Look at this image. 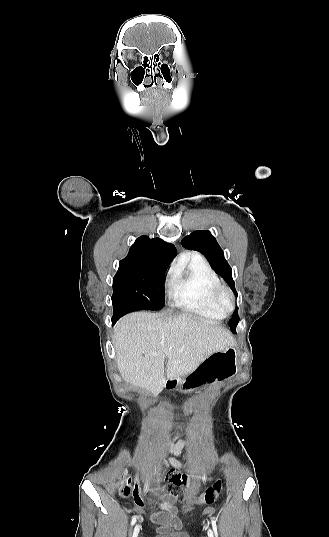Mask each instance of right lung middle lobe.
Instances as JSON below:
<instances>
[{"instance_id": "right-lung-middle-lobe-1", "label": "right lung middle lobe", "mask_w": 329, "mask_h": 537, "mask_svg": "<svg viewBox=\"0 0 329 537\" xmlns=\"http://www.w3.org/2000/svg\"><path fill=\"white\" fill-rule=\"evenodd\" d=\"M166 265L142 266L120 270L113 278L112 304L117 321L138 308L160 309L164 306Z\"/></svg>"}]
</instances>
